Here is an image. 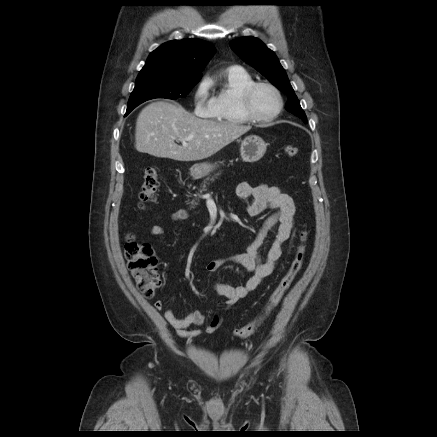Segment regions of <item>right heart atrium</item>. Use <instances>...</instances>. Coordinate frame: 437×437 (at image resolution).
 Instances as JSON below:
<instances>
[{
  "mask_svg": "<svg viewBox=\"0 0 437 437\" xmlns=\"http://www.w3.org/2000/svg\"><path fill=\"white\" fill-rule=\"evenodd\" d=\"M194 111L200 117H212L215 112V99L210 94V84L207 80H202L193 96Z\"/></svg>",
  "mask_w": 437,
  "mask_h": 437,
  "instance_id": "d8ad5b80",
  "label": "right heart atrium"
}]
</instances>
